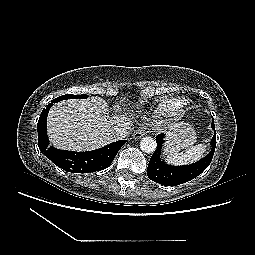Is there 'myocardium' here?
<instances>
[{
  "label": "myocardium",
  "instance_id": "f54148a6",
  "mask_svg": "<svg viewBox=\"0 0 255 255\" xmlns=\"http://www.w3.org/2000/svg\"><path fill=\"white\" fill-rule=\"evenodd\" d=\"M182 110H180L178 113H180ZM178 113H176L175 115H177ZM174 116V115H173Z\"/></svg>",
  "mask_w": 255,
  "mask_h": 255
}]
</instances>
